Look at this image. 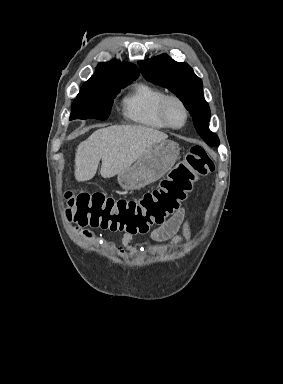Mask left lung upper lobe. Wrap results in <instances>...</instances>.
<instances>
[{
    "instance_id": "1",
    "label": "left lung upper lobe",
    "mask_w": 283,
    "mask_h": 384,
    "mask_svg": "<svg viewBox=\"0 0 283 384\" xmlns=\"http://www.w3.org/2000/svg\"><path fill=\"white\" fill-rule=\"evenodd\" d=\"M143 76L154 84L168 88L184 103L193 117L196 131L210 146H218L220 141L209 130L210 108L203 96L202 80L185 62L174 61L167 54L139 62Z\"/></svg>"
}]
</instances>
